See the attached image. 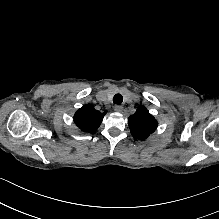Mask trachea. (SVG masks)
<instances>
[{
    "label": "trachea",
    "mask_w": 219,
    "mask_h": 219,
    "mask_svg": "<svg viewBox=\"0 0 219 219\" xmlns=\"http://www.w3.org/2000/svg\"><path fill=\"white\" fill-rule=\"evenodd\" d=\"M113 102L115 104H121L123 102V97L121 94H116L114 97H113Z\"/></svg>",
    "instance_id": "trachea-1"
}]
</instances>
